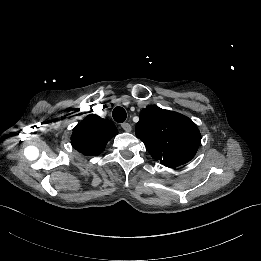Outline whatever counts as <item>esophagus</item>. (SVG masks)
<instances>
[{
  "label": "esophagus",
  "instance_id": "obj_1",
  "mask_svg": "<svg viewBox=\"0 0 261 261\" xmlns=\"http://www.w3.org/2000/svg\"><path fill=\"white\" fill-rule=\"evenodd\" d=\"M121 126L126 132H130L132 130V127L129 123H123Z\"/></svg>",
  "mask_w": 261,
  "mask_h": 261
}]
</instances>
